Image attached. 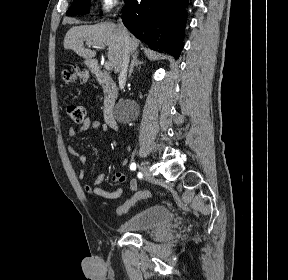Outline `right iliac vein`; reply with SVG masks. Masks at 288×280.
Listing matches in <instances>:
<instances>
[{
  "label": "right iliac vein",
  "instance_id": "right-iliac-vein-1",
  "mask_svg": "<svg viewBox=\"0 0 288 280\" xmlns=\"http://www.w3.org/2000/svg\"><path fill=\"white\" fill-rule=\"evenodd\" d=\"M142 173L146 178H152V173L149 171L147 166L141 167Z\"/></svg>",
  "mask_w": 288,
  "mask_h": 280
}]
</instances>
